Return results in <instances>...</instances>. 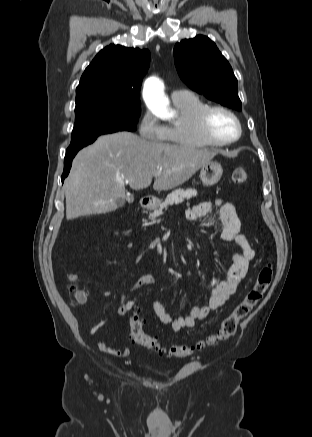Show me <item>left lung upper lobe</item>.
<instances>
[{"mask_svg": "<svg viewBox=\"0 0 312 437\" xmlns=\"http://www.w3.org/2000/svg\"><path fill=\"white\" fill-rule=\"evenodd\" d=\"M174 59L180 78L192 90L229 108L242 109L233 70L208 37L197 35L177 43Z\"/></svg>", "mask_w": 312, "mask_h": 437, "instance_id": "5c2ea615", "label": "left lung upper lobe"}]
</instances>
